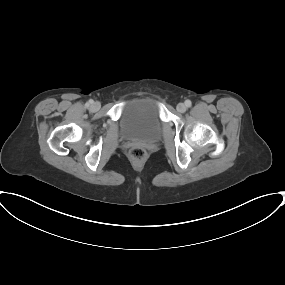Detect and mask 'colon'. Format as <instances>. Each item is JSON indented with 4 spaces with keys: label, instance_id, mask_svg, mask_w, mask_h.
Here are the masks:
<instances>
[{
    "label": "colon",
    "instance_id": "1",
    "mask_svg": "<svg viewBox=\"0 0 285 285\" xmlns=\"http://www.w3.org/2000/svg\"><path fill=\"white\" fill-rule=\"evenodd\" d=\"M130 157L134 160L141 161L144 160L146 157V151L144 148L140 146L133 147L130 150Z\"/></svg>",
    "mask_w": 285,
    "mask_h": 285
}]
</instances>
